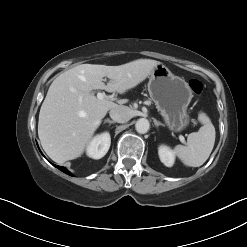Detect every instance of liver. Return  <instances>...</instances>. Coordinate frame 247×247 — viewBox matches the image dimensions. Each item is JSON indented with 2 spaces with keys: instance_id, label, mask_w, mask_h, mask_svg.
<instances>
[{
  "instance_id": "obj_1",
  "label": "liver",
  "mask_w": 247,
  "mask_h": 247,
  "mask_svg": "<svg viewBox=\"0 0 247 247\" xmlns=\"http://www.w3.org/2000/svg\"><path fill=\"white\" fill-rule=\"evenodd\" d=\"M160 62L138 59L119 66L82 64L60 74L42 103L38 136L57 163L80 157L107 112L127 102L100 100L93 90L125 93L143 82ZM110 81L105 85L103 77Z\"/></svg>"
}]
</instances>
